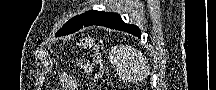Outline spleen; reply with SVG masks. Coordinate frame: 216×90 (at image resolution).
Returning <instances> with one entry per match:
<instances>
[{
	"label": "spleen",
	"instance_id": "3e777b00",
	"mask_svg": "<svg viewBox=\"0 0 216 90\" xmlns=\"http://www.w3.org/2000/svg\"><path fill=\"white\" fill-rule=\"evenodd\" d=\"M124 54L126 58L125 62H128L129 68L133 72H143L146 66V60L141 52H138L135 48H131V46H125Z\"/></svg>",
	"mask_w": 216,
	"mask_h": 90
}]
</instances>
